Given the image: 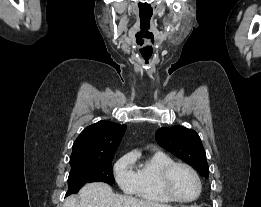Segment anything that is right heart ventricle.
<instances>
[{
	"label": "right heart ventricle",
	"mask_w": 261,
	"mask_h": 207,
	"mask_svg": "<svg viewBox=\"0 0 261 207\" xmlns=\"http://www.w3.org/2000/svg\"><path fill=\"white\" fill-rule=\"evenodd\" d=\"M174 162L163 152H154L149 155L136 170L138 184L135 194L142 200L170 203L172 202L163 192L160 184V175L165 166Z\"/></svg>",
	"instance_id": "obj_1"
}]
</instances>
